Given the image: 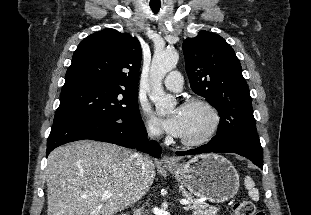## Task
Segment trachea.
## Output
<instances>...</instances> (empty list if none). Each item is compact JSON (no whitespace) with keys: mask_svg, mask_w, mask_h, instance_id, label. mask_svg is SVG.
Wrapping results in <instances>:
<instances>
[{"mask_svg":"<svg viewBox=\"0 0 311 215\" xmlns=\"http://www.w3.org/2000/svg\"><path fill=\"white\" fill-rule=\"evenodd\" d=\"M150 7H151V9H152V11H153L154 13H157V12L159 11V9H160V6L151 5Z\"/></svg>","mask_w":311,"mask_h":215,"instance_id":"obj_1","label":"trachea"}]
</instances>
